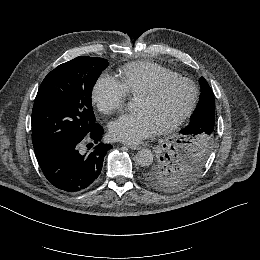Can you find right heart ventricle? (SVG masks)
<instances>
[{"mask_svg":"<svg viewBox=\"0 0 260 260\" xmlns=\"http://www.w3.org/2000/svg\"><path fill=\"white\" fill-rule=\"evenodd\" d=\"M176 73L166 67L154 63H132L121 72V83L130 95H137L140 91L150 88L155 77L163 78Z\"/></svg>","mask_w":260,"mask_h":260,"instance_id":"e07e8e85","label":"right heart ventricle"}]
</instances>
